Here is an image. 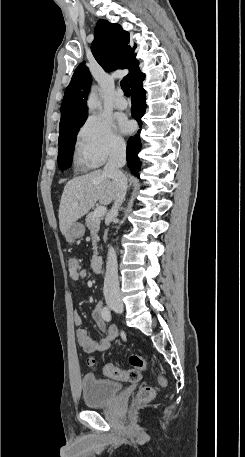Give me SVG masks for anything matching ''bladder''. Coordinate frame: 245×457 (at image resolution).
<instances>
[{"mask_svg":"<svg viewBox=\"0 0 245 457\" xmlns=\"http://www.w3.org/2000/svg\"><path fill=\"white\" fill-rule=\"evenodd\" d=\"M85 406L109 404L113 395H118L120 383L111 380H99L91 375H85L82 380Z\"/></svg>","mask_w":245,"mask_h":457,"instance_id":"bladder-1","label":"bladder"}]
</instances>
